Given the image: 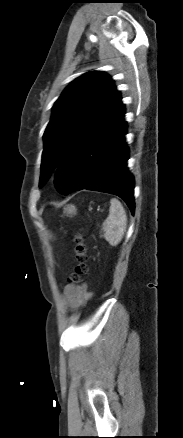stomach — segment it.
<instances>
[{
  "label": "stomach",
  "instance_id": "obj_1",
  "mask_svg": "<svg viewBox=\"0 0 183 438\" xmlns=\"http://www.w3.org/2000/svg\"><path fill=\"white\" fill-rule=\"evenodd\" d=\"M75 211H76V209L73 205H69L65 208V212L67 214H73V213H75Z\"/></svg>",
  "mask_w": 183,
  "mask_h": 438
}]
</instances>
